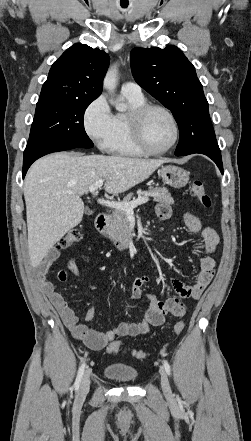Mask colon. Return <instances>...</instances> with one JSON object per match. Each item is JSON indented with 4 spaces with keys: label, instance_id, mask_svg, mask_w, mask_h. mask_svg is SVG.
I'll return each mask as SVG.
<instances>
[{
    "label": "colon",
    "instance_id": "colon-1",
    "mask_svg": "<svg viewBox=\"0 0 251 441\" xmlns=\"http://www.w3.org/2000/svg\"><path fill=\"white\" fill-rule=\"evenodd\" d=\"M191 195L198 199L200 204L204 208H209L212 204L211 198L205 190L203 183L201 181H194L191 185L190 189ZM81 232L78 229H73L67 232L58 242L57 249L68 248L81 240ZM64 274L61 273L60 277H63ZM184 329V322L178 321L175 323L173 327L174 335H179ZM124 347L121 341H113L108 346V352L110 354L118 353ZM131 354L137 358H143L146 356V353L140 349H130Z\"/></svg>",
    "mask_w": 251,
    "mask_h": 441
}]
</instances>
